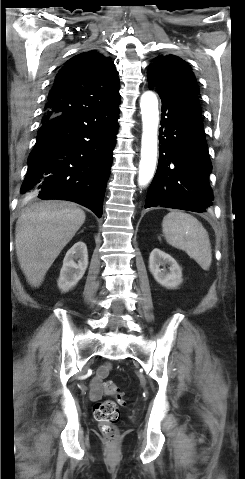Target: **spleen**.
Here are the masks:
<instances>
[{
    "instance_id": "spleen-1",
    "label": "spleen",
    "mask_w": 245,
    "mask_h": 479,
    "mask_svg": "<svg viewBox=\"0 0 245 479\" xmlns=\"http://www.w3.org/2000/svg\"><path fill=\"white\" fill-rule=\"evenodd\" d=\"M163 234L168 244L185 251L203 270H209L212 250L208 233L194 216L172 211L162 221Z\"/></svg>"
}]
</instances>
